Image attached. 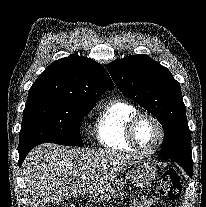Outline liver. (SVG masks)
<instances>
[{
  "label": "liver",
  "mask_w": 206,
  "mask_h": 207,
  "mask_svg": "<svg viewBox=\"0 0 206 207\" xmlns=\"http://www.w3.org/2000/svg\"><path fill=\"white\" fill-rule=\"evenodd\" d=\"M139 157L110 150H85L44 143L34 148L22 164V176L31 207L59 203L89 194L91 201L106 199L109 182Z\"/></svg>",
  "instance_id": "6515ba94"
}]
</instances>
